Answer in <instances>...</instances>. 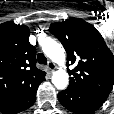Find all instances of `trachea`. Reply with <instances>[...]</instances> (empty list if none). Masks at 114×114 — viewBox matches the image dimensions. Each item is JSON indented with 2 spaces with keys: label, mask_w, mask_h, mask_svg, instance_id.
<instances>
[{
  "label": "trachea",
  "mask_w": 114,
  "mask_h": 114,
  "mask_svg": "<svg viewBox=\"0 0 114 114\" xmlns=\"http://www.w3.org/2000/svg\"><path fill=\"white\" fill-rule=\"evenodd\" d=\"M37 60H38L39 64H42V65H46L47 64V58L42 53H39L37 55Z\"/></svg>",
  "instance_id": "obj_1"
}]
</instances>
